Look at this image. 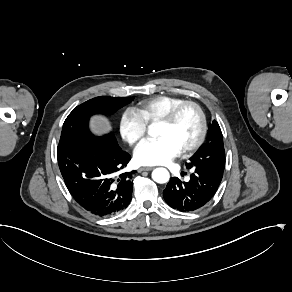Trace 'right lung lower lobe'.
<instances>
[{"mask_svg":"<svg viewBox=\"0 0 292 292\" xmlns=\"http://www.w3.org/2000/svg\"><path fill=\"white\" fill-rule=\"evenodd\" d=\"M57 159L66 187L86 211L105 217L129 205L136 171L120 174L131 156L119 145H65L57 148Z\"/></svg>","mask_w":292,"mask_h":292,"instance_id":"obj_1","label":"right lung lower lobe"}]
</instances>
